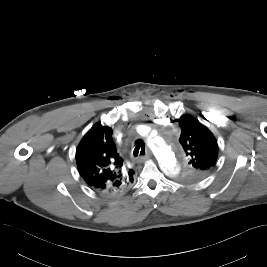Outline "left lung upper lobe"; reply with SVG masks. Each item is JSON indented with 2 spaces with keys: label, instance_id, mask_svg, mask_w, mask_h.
Returning <instances> with one entry per match:
<instances>
[{
  "label": "left lung upper lobe",
  "instance_id": "obj_1",
  "mask_svg": "<svg viewBox=\"0 0 267 267\" xmlns=\"http://www.w3.org/2000/svg\"><path fill=\"white\" fill-rule=\"evenodd\" d=\"M180 143L188 158L181 180L197 182L207 177L215 167L218 144L211 131L190 115L179 119Z\"/></svg>",
  "mask_w": 267,
  "mask_h": 267
}]
</instances>
